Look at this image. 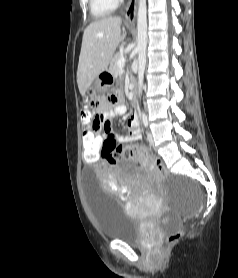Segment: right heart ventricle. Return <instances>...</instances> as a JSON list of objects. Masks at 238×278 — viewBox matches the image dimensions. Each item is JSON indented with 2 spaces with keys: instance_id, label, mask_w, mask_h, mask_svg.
Masks as SVG:
<instances>
[{
  "instance_id": "e07e8e85",
  "label": "right heart ventricle",
  "mask_w": 238,
  "mask_h": 278,
  "mask_svg": "<svg viewBox=\"0 0 238 278\" xmlns=\"http://www.w3.org/2000/svg\"><path fill=\"white\" fill-rule=\"evenodd\" d=\"M118 0H89L91 14L96 19L110 15L117 7Z\"/></svg>"
}]
</instances>
